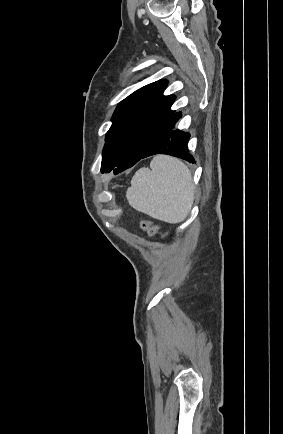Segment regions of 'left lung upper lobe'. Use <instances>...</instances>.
Returning <instances> with one entry per match:
<instances>
[{
  "mask_svg": "<svg viewBox=\"0 0 283 434\" xmlns=\"http://www.w3.org/2000/svg\"><path fill=\"white\" fill-rule=\"evenodd\" d=\"M166 80L148 84L117 106L106 134L101 172L108 173L120 163L137 161L175 111V96H164Z\"/></svg>",
  "mask_w": 283,
  "mask_h": 434,
  "instance_id": "5c2ea615",
  "label": "left lung upper lobe"
}]
</instances>
